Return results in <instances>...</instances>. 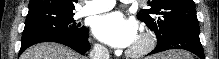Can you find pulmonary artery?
Wrapping results in <instances>:
<instances>
[{
	"instance_id": "e3ab8cb5",
	"label": "pulmonary artery",
	"mask_w": 219,
	"mask_h": 59,
	"mask_svg": "<svg viewBox=\"0 0 219 59\" xmlns=\"http://www.w3.org/2000/svg\"><path fill=\"white\" fill-rule=\"evenodd\" d=\"M113 0H92L81 9L82 15H92L108 11L114 7Z\"/></svg>"
}]
</instances>
